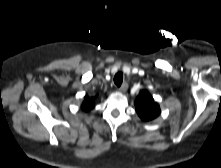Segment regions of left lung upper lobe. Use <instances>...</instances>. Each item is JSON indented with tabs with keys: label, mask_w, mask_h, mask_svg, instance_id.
<instances>
[{
	"label": "left lung upper lobe",
	"mask_w": 221,
	"mask_h": 168,
	"mask_svg": "<svg viewBox=\"0 0 221 168\" xmlns=\"http://www.w3.org/2000/svg\"><path fill=\"white\" fill-rule=\"evenodd\" d=\"M136 112L143 121L155 119L160 114V106L147 92L142 91L135 100Z\"/></svg>",
	"instance_id": "1"
}]
</instances>
